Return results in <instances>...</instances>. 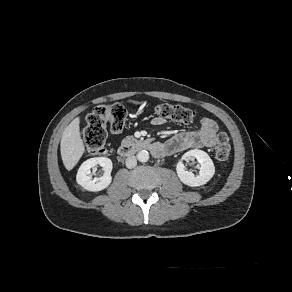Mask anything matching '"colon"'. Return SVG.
Masks as SVG:
<instances>
[{
    "label": "colon",
    "instance_id": "obj_1",
    "mask_svg": "<svg viewBox=\"0 0 292 292\" xmlns=\"http://www.w3.org/2000/svg\"><path fill=\"white\" fill-rule=\"evenodd\" d=\"M157 116L181 123H191L195 118V111L175 104H159L155 108ZM127 121V111L121 104L99 105L86 116L83 129V141L89 153L101 154L105 151L107 129L112 133L121 132ZM231 141L225 132H219L216 137L215 154L218 160L229 158Z\"/></svg>",
    "mask_w": 292,
    "mask_h": 292
}]
</instances>
